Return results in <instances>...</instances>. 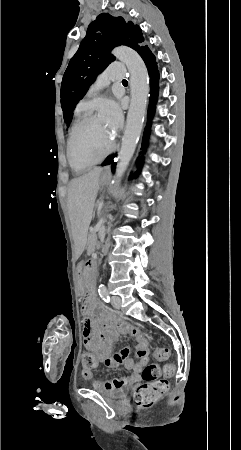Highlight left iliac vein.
Returning <instances> with one entry per match:
<instances>
[{"mask_svg":"<svg viewBox=\"0 0 241 450\" xmlns=\"http://www.w3.org/2000/svg\"><path fill=\"white\" fill-rule=\"evenodd\" d=\"M111 304L114 308L120 309L121 307V298L119 296H114L111 299Z\"/></svg>","mask_w":241,"mask_h":450,"instance_id":"1","label":"left iliac vein"}]
</instances>
